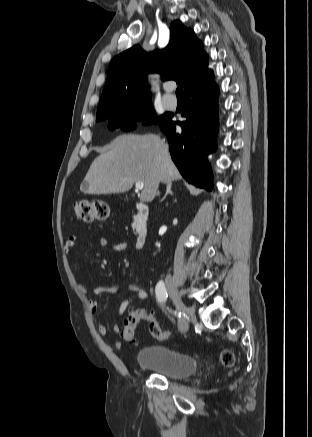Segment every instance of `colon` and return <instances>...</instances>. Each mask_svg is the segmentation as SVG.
Instances as JSON below:
<instances>
[{"instance_id":"1","label":"colon","mask_w":312,"mask_h":437,"mask_svg":"<svg viewBox=\"0 0 312 437\" xmlns=\"http://www.w3.org/2000/svg\"><path fill=\"white\" fill-rule=\"evenodd\" d=\"M75 216L85 222L106 220L110 216L109 206L101 200L84 198L77 200L73 205ZM146 322L150 334L157 340L163 341L169 339L172 333L160 328L154 314L147 312L143 308L131 310L123 320V338L132 344L136 343L135 330L140 322ZM221 362L226 367H232L235 364L234 354L229 350H224L220 356Z\"/></svg>"}]
</instances>
